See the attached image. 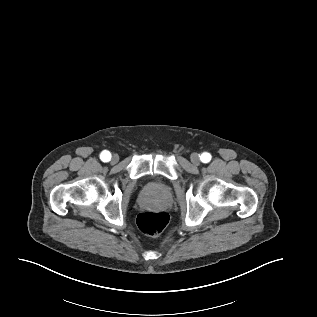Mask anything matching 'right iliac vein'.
<instances>
[{
  "label": "right iliac vein",
  "mask_w": 317,
  "mask_h": 317,
  "mask_svg": "<svg viewBox=\"0 0 317 317\" xmlns=\"http://www.w3.org/2000/svg\"><path fill=\"white\" fill-rule=\"evenodd\" d=\"M119 160V157L118 155H113L112 158H111V163L112 164H116Z\"/></svg>",
  "instance_id": "right-iliac-vein-1"
}]
</instances>
